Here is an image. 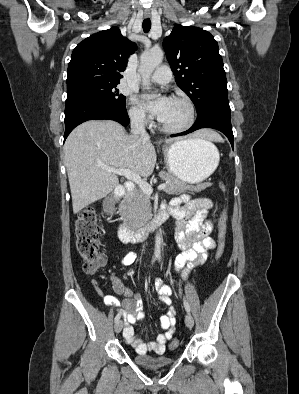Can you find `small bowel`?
I'll return each instance as SVG.
<instances>
[{"label":"small bowel","mask_w":299,"mask_h":394,"mask_svg":"<svg viewBox=\"0 0 299 394\" xmlns=\"http://www.w3.org/2000/svg\"><path fill=\"white\" fill-rule=\"evenodd\" d=\"M213 202L207 198L190 199L188 195L175 198L168 207H164L172 214L176 221V241L181 249L175 259V268L180 271L184 278L189 269L201 265L214 249L216 244L210 236L213 224L208 219ZM136 260V255L127 253L121 259V264L129 266ZM113 289L117 294L125 296L120 300L114 296H106L105 303L114 305L125 318L124 337L138 354L146 355L149 352L162 354L166 343L172 338L176 325V308L172 299V288L162 279L155 281V289L160 300L168 307L167 313L160 317V326L163 332L155 341H143L134 333L133 325L144 319L142 311V299L139 292L125 286L117 277L112 278Z\"/></svg>","instance_id":"obj_1"}]
</instances>
